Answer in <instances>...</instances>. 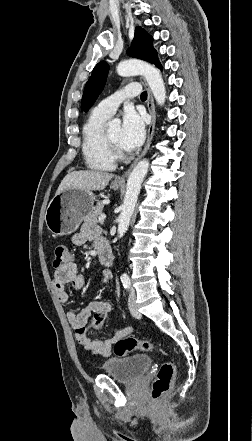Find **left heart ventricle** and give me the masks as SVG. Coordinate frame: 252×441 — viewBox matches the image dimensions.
<instances>
[{
	"mask_svg": "<svg viewBox=\"0 0 252 441\" xmlns=\"http://www.w3.org/2000/svg\"><path fill=\"white\" fill-rule=\"evenodd\" d=\"M110 140L119 147V139L121 134V128L119 126L110 128L107 130Z\"/></svg>",
	"mask_w": 252,
	"mask_h": 441,
	"instance_id": "1",
	"label": "left heart ventricle"
}]
</instances>
